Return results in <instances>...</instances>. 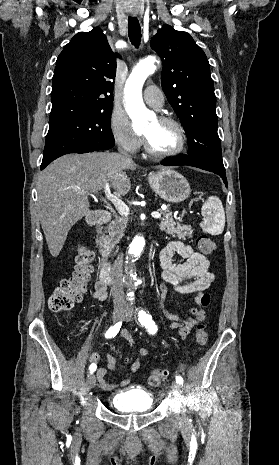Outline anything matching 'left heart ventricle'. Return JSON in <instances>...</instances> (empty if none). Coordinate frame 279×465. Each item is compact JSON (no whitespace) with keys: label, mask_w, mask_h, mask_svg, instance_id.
Wrapping results in <instances>:
<instances>
[{"label":"left heart ventricle","mask_w":279,"mask_h":465,"mask_svg":"<svg viewBox=\"0 0 279 465\" xmlns=\"http://www.w3.org/2000/svg\"><path fill=\"white\" fill-rule=\"evenodd\" d=\"M151 146L158 152H168L175 149L179 143V134L175 126L153 120L143 131Z\"/></svg>","instance_id":"b2bd125f"}]
</instances>
